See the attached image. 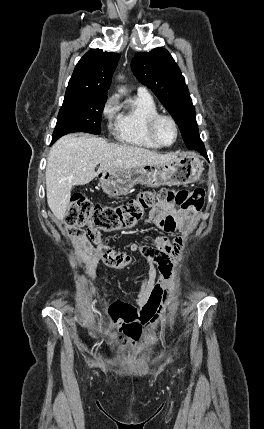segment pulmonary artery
<instances>
[{
	"mask_svg": "<svg viewBox=\"0 0 264 429\" xmlns=\"http://www.w3.org/2000/svg\"><path fill=\"white\" fill-rule=\"evenodd\" d=\"M138 93L149 94L148 90L145 87H143V86L138 87Z\"/></svg>",
	"mask_w": 264,
	"mask_h": 429,
	"instance_id": "1",
	"label": "pulmonary artery"
}]
</instances>
